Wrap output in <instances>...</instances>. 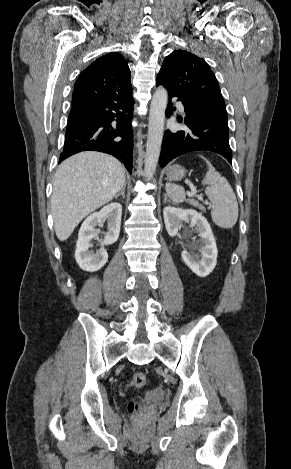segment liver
Returning <instances> with one entry per match:
<instances>
[{
  "label": "liver",
  "instance_id": "6515ba94",
  "mask_svg": "<svg viewBox=\"0 0 291 469\" xmlns=\"http://www.w3.org/2000/svg\"><path fill=\"white\" fill-rule=\"evenodd\" d=\"M125 184L124 166L108 154L81 152L63 161L51 196L58 239H68L88 214L110 202Z\"/></svg>",
  "mask_w": 291,
  "mask_h": 469
}]
</instances>
